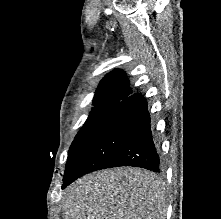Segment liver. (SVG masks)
Masks as SVG:
<instances>
[{"mask_svg": "<svg viewBox=\"0 0 221 219\" xmlns=\"http://www.w3.org/2000/svg\"><path fill=\"white\" fill-rule=\"evenodd\" d=\"M166 213L165 186L140 168L98 171L64 193V219H165Z\"/></svg>", "mask_w": 221, "mask_h": 219, "instance_id": "6515ba94", "label": "liver"}]
</instances>
